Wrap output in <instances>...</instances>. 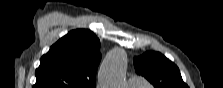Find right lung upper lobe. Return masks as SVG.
Segmentation results:
<instances>
[{
    "label": "right lung upper lobe",
    "mask_w": 223,
    "mask_h": 88,
    "mask_svg": "<svg viewBox=\"0 0 223 88\" xmlns=\"http://www.w3.org/2000/svg\"><path fill=\"white\" fill-rule=\"evenodd\" d=\"M100 60L99 39L89 30H73L42 56L33 88H95Z\"/></svg>",
    "instance_id": "1"
}]
</instances>
